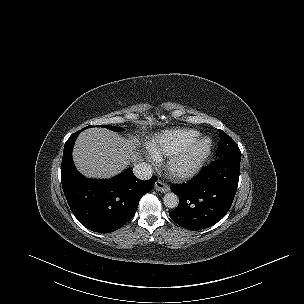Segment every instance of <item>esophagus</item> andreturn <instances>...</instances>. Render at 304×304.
<instances>
[{
	"mask_svg": "<svg viewBox=\"0 0 304 304\" xmlns=\"http://www.w3.org/2000/svg\"><path fill=\"white\" fill-rule=\"evenodd\" d=\"M155 190L158 192L166 193L169 191V186L161 180H157L155 183Z\"/></svg>",
	"mask_w": 304,
	"mask_h": 304,
	"instance_id": "obj_1",
	"label": "esophagus"
}]
</instances>
